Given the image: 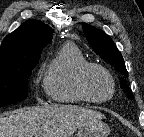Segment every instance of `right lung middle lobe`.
<instances>
[{"mask_svg": "<svg viewBox=\"0 0 144 137\" xmlns=\"http://www.w3.org/2000/svg\"><path fill=\"white\" fill-rule=\"evenodd\" d=\"M38 60L0 65V107L26 98L28 79Z\"/></svg>", "mask_w": 144, "mask_h": 137, "instance_id": "dd1d6c3e", "label": "right lung middle lobe"}]
</instances>
